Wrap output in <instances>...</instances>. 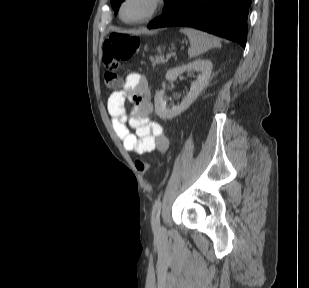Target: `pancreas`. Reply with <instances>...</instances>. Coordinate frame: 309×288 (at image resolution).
I'll list each match as a JSON object with an SVG mask.
<instances>
[{
  "instance_id": "1",
  "label": "pancreas",
  "mask_w": 309,
  "mask_h": 288,
  "mask_svg": "<svg viewBox=\"0 0 309 288\" xmlns=\"http://www.w3.org/2000/svg\"><path fill=\"white\" fill-rule=\"evenodd\" d=\"M151 62L153 67L160 64H165L167 62V59L164 58V56H156L155 58H151Z\"/></svg>"
}]
</instances>
